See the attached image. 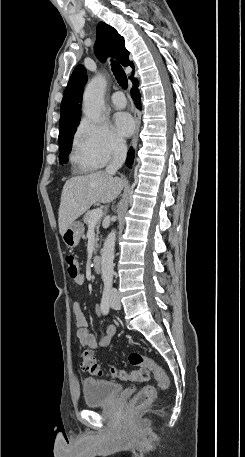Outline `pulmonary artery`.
<instances>
[{
  "instance_id": "pulmonary-artery-1",
  "label": "pulmonary artery",
  "mask_w": 245,
  "mask_h": 457,
  "mask_svg": "<svg viewBox=\"0 0 245 457\" xmlns=\"http://www.w3.org/2000/svg\"><path fill=\"white\" fill-rule=\"evenodd\" d=\"M111 102L118 109H121L126 105V99L122 92L114 93L111 96Z\"/></svg>"
}]
</instances>
